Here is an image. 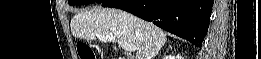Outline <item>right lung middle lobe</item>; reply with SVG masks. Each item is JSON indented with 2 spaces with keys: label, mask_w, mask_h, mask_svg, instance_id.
<instances>
[{
  "label": "right lung middle lobe",
  "mask_w": 261,
  "mask_h": 59,
  "mask_svg": "<svg viewBox=\"0 0 261 59\" xmlns=\"http://www.w3.org/2000/svg\"><path fill=\"white\" fill-rule=\"evenodd\" d=\"M105 0H70L68 3L70 5H82V4H90V3H102Z\"/></svg>",
  "instance_id": "1"
}]
</instances>
